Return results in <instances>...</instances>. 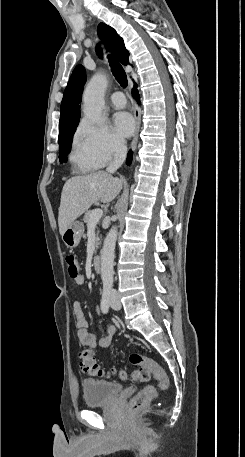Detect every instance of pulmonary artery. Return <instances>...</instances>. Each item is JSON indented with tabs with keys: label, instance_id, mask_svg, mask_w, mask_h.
I'll list each match as a JSON object with an SVG mask.
<instances>
[{
	"label": "pulmonary artery",
	"instance_id": "obj_1",
	"mask_svg": "<svg viewBox=\"0 0 245 457\" xmlns=\"http://www.w3.org/2000/svg\"><path fill=\"white\" fill-rule=\"evenodd\" d=\"M110 101L116 108H123L126 104V99L121 92L113 93L110 96Z\"/></svg>",
	"mask_w": 245,
	"mask_h": 457
}]
</instances>
